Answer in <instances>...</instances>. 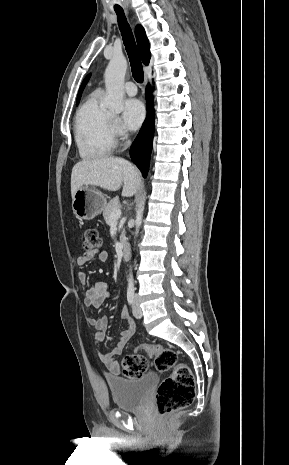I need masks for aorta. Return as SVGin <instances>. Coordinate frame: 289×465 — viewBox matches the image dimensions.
<instances>
[{"instance_id":"aorta-1","label":"aorta","mask_w":289,"mask_h":465,"mask_svg":"<svg viewBox=\"0 0 289 465\" xmlns=\"http://www.w3.org/2000/svg\"><path fill=\"white\" fill-rule=\"evenodd\" d=\"M127 70V60L125 57H113L104 74L106 96L104 99L105 106L116 113L123 110V97H124V79ZM146 194L138 206L136 211V235L138 234L139 227L142 223ZM128 290H134V280L132 274L128 278Z\"/></svg>"}]
</instances>
